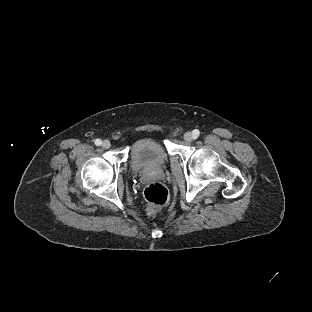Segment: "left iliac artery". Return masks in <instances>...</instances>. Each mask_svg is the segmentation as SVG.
Returning a JSON list of instances; mask_svg holds the SVG:
<instances>
[{"instance_id": "left-iliac-artery-1", "label": "left iliac artery", "mask_w": 312, "mask_h": 312, "mask_svg": "<svg viewBox=\"0 0 312 312\" xmlns=\"http://www.w3.org/2000/svg\"><path fill=\"white\" fill-rule=\"evenodd\" d=\"M199 134H200L199 130H197V129L193 130V135L195 138L198 137Z\"/></svg>"}]
</instances>
